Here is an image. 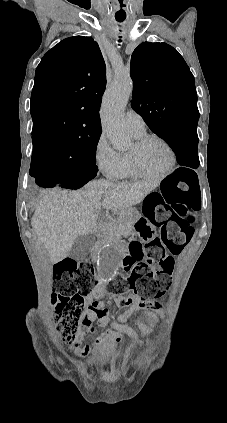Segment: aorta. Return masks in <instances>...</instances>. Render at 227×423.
Returning <instances> with one entry per match:
<instances>
[{"instance_id":"obj_1","label":"aorta","mask_w":227,"mask_h":423,"mask_svg":"<svg viewBox=\"0 0 227 423\" xmlns=\"http://www.w3.org/2000/svg\"><path fill=\"white\" fill-rule=\"evenodd\" d=\"M133 83L129 76L118 75L103 96L100 110L104 133L117 149L130 145V136L124 122V111L132 93ZM121 266V255L116 246L108 245L98 257L97 272L104 280H111Z\"/></svg>"}]
</instances>
